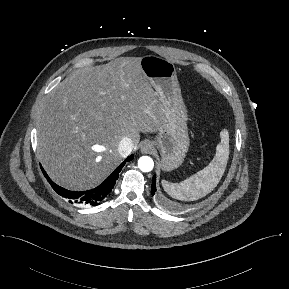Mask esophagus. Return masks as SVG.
<instances>
[{"label": "esophagus", "instance_id": "1", "mask_svg": "<svg viewBox=\"0 0 289 289\" xmlns=\"http://www.w3.org/2000/svg\"><path fill=\"white\" fill-rule=\"evenodd\" d=\"M152 149H153V145L149 141H145L141 146V152L145 154L150 153Z\"/></svg>", "mask_w": 289, "mask_h": 289}]
</instances>
